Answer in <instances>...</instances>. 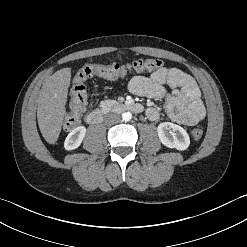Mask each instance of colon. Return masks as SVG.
I'll return each instance as SVG.
<instances>
[{"instance_id": "1", "label": "colon", "mask_w": 247, "mask_h": 247, "mask_svg": "<svg viewBox=\"0 0 247 247\" xmlns=\"http://www.w3.org/2000/svg\"><path fill=\"white\" fill-rule=\"evenodd\" d=\"M162 68V61L155 58L135 59L126 64H86L75 75L71 88L70 112L65 120V129L70 130L77 126L87 105V87L85 82L94 77L117 79L129 73L155 72ZM203 128L197 126L192 129L191 137L199 141L203 137Z\"/></svg>"}]
</instances>
